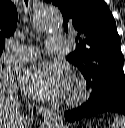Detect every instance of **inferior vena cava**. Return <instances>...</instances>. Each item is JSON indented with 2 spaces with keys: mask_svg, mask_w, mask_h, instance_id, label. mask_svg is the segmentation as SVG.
<instances>
[{
  "mask_svg": "<svg viewBox=\"0 0 125 128\" xmlns=\"http://www.w3.org/2000/svg\"><path fill=\"white\" fill-rule=\"evenodd\" d=\"M27 124V119L26 118H24V117H21L20 118V127L21 128H24V126Z\"/></svg>",
  "mask_w": 125,
  "mask_h": 128,
  "instance_id": "inferior-vena-cava-1",
  "label": "inferior vena cava"
}]
</instances>
